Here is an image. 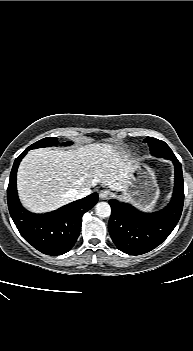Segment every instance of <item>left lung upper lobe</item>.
I'll return each mask as SVG.
<instances>
[{"instance_id": "5c2ea615", "label": "left lung upper lobe", "mask_w": 193, "mask_h": 351, "mask_svg": "<svg viewBox=\"0 0 193 351\" xmlns=\"http://www.w3.org/2000/svg\"><path fill=\"white\" fill-rule=\"evenodd\" d=\"M144 143H148L150 147L151 154L157 157H162L169 159L171 157H174L175 155L173 154L172 150L169 148V146L161 140H158L153 137H147L144 140Z\"/></svg>"}]
</instances>
